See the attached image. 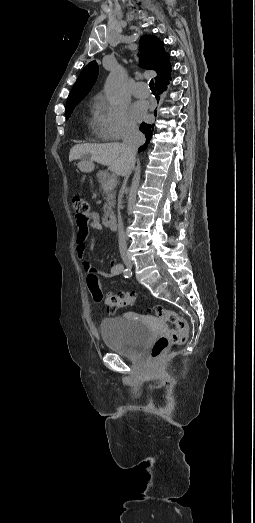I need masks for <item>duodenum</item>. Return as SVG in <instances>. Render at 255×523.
<instances>
[{"label": "duodenum", "instance_id": "obj_1", "mask_svg": "<svg viewBox=\"0 0 255 523\" xmlns=\"http://www.w3.org/2000/svg\"><path fill=\"white\" fill-rule=\"evenodd\" d=\"M105 223L110 230H115L117 228V219L112 214L106 216Z\"/></svg>", "mask_w": 255, "mask_h": 523}]
</instances>
